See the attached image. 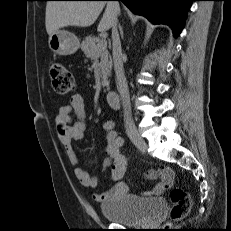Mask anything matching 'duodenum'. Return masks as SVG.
Returning a JSON list of instances; mask_svg holds the SVG:
<instances>
[{
  "mask_svg": "<svg viewBox=\"0 0 231 231\" xmlns=\"http://www.w3.org/2000/svg\"><path fill=\"white\" fill-rule=\"evenodd\" d=\"M106 100L108 105L112 108V109H119L120 105H121V100H120V95L118 92L116 91H108L106 94Z\"/></svg>",
  "mask_w": 231,
  "mask_h": 231,
  "instance_id": "410a0bca",
  "label": "duodenum"
}]
</instances>
